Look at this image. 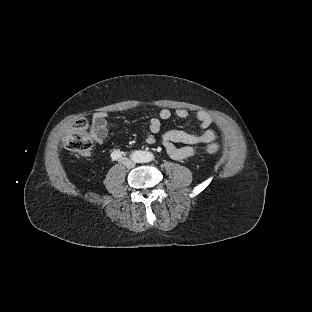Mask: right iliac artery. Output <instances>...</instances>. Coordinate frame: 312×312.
<instances>
[{"label":"right iliac artery","instance_id":"obj_1","mask_svg":"<svg viewBox=\"0 0 312 312\" xmlns=\"http://www.w3.org/2000/svg\"><path fill=\"white\" fill-rule=\"evenodd\" d=\"M124 153L123 152H120L119 150H114L112 153H111V157L113 160H117V159H120L122 157ZM137 161V160H136Z\"/></svg>","mask_w":312,"mask_h":312}]
</instances>
